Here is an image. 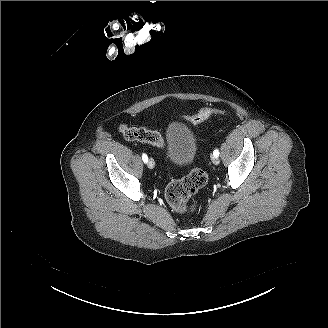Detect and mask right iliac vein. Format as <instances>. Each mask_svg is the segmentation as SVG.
<instances>
[{"instance_id":"right-iliac-vein-1","label":"right iliac vein","mask_w":328,"mask_h":328,"mask_svg":"<svg viewBox=\"0 0 328 328\" xmlns=\"http://www.w3.org/2000/svg\"><path fill=\"white\" fill-rule=\"evenodd\" d=\"M147 166L150 169H153L155 167V162H154L153 158H149V160L147 162Z\"/></svg>"}]
</instances>
